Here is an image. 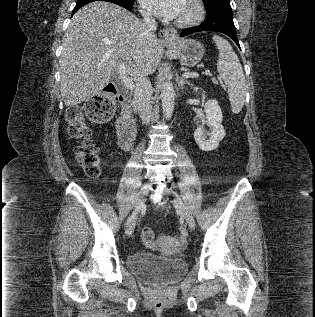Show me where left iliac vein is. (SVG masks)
<instances>
[{"mask_svg": "<svg viewBox=\"0 0 315 317\" xmlns=\"http://www.w3.org/2000/svg\"><path fill=\"white\" fill-rule=\"evenodd\" d=\"M164 194L167 196H172V203L175 206V208L180 212L182 218L185 220V222L188 224V226L191 229L195 228V220L191 214V212L188 210L186 205L184 204L183 200L181 197L176 194L172 189L170 188H165L164 189Z\"/></svg>", "mask_w": 315, "mask_h": 317, "instance_id": "1", "label": "left iliac vein"}]
</instances>
